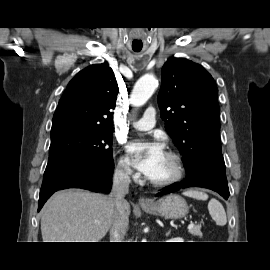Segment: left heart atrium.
Wrapping results in <instances>:
<instances>
[{"label":"left heart atrium","instance_id":"obj_1","mask_svg":"<svg viewBox=\"0 0 270 270\" xmlns=\"http://www.w3.org/2000/svg\"><path fill=\"white\" fill-rule=\"evenodd\" d=\"M127 151L132 157L134 166L148 178L156 173L165 156L164 147L158 141L131 142L127 146Z\"/></svg>","mask_w":270,"mask_h":270}]
</instances>
